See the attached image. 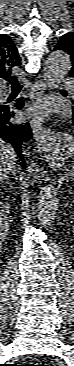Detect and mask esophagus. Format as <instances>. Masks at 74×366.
Listing matches in <instances>:
<instances>
[{
  "instance_id": "obj_1",
  "label": "esophagus",
  "mask_w": 74,
  "mask_h": 366,
  "mask_svg": "<svg viewBox=\"0 0 74 366\" xmlns=\"http://www.w3.org/2000/svg\"><path fill=\"white\" fill-rule=\"evenodd\" d=\"M45 90V83L41 80L36 81L32 86L30 99L41 102L42 100H44ZM30 124L38 148L41 150H45L50 145V142L48 141V137L51 134L50 129L43 127L42 122L34 117L31 119Z\"/></svg>"
}]
</instances>
